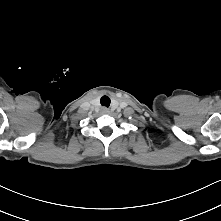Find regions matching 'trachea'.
<instances>
[{
    "instance_id": "1",
    "label": "trachea",
    "mask_w": 221,
    "mask_h": 221,
    "mask_svg": "<svg viewBox=\"0 0 221 221\" xmlns=\"http://www.w3.org/2000/svg\"><path fill=\"white\" fill-rule=\"evenodd\" d=\"M110 98L106 95L102 96L100 99V103L102 106L109 107L110 106Z\"/></svg>"
}]
</instances>
